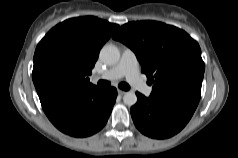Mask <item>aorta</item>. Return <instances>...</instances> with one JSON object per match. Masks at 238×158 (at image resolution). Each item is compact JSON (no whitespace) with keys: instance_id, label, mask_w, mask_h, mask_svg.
<instances>
[{"instance_id":"1","label":"aorta","mask_w":238,"mask_h":158,"mask_svg":"<svg viewBox=\"0 0 238 158\" xmlns=\"http://www.w3.org/2000/svg\"><path fill=\"white\" fill-rule=\"evenodd\" d=\"M99 56L104 63L114 65L117 64L120 60V51L115 45L106 44L102 47ZM123 101L128 106L135 105L137 102V96L135 92H126L123 96Z\"/></svg>"}]
</instances>
